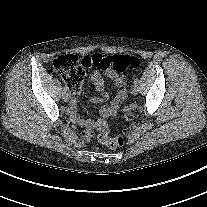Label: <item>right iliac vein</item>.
<instances>
[{
  "mask_svg": "<svg viewBox=\"0 0 207 207\" xmlns=\"http://www.w3.org/2000/svg\"><path fill=\"white\" fill-rule=\"evenodd\" d=\"M62 99L65 101V102H68L70 100V95L69 93L65 92L62 94Z\"/></svg>",
  "mask_w": 207,
  "mask_h": 207,
  "instance_id": "1",
  "label": "right iliac vein"
}]
</instances>
